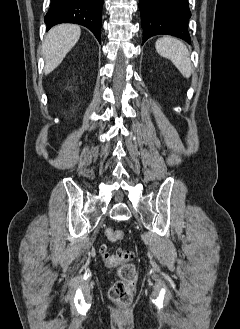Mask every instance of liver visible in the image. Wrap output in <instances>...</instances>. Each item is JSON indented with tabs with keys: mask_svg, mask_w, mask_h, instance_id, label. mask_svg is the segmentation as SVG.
Returning <instances> with one entry per match:
<instances>
[{
	"mask_svg": "<svg viewBox=\"0 0 240 329\" xmlns=\"http://www.w3.org/2000/svg\"><path fill=\"white\" fill-rule=\"evenodd\" d=\"M81 35L78 25L61 24L53 27L46 35L42 45L45 59L44 73H51L75 46Z\"/></svg>",
	"mask_w": 240,
	"mask_h": 329,
	"instance_id": "6515ba94",
	"label": "liver"
}]
</instances>
